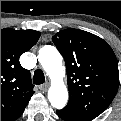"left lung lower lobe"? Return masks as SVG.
Instances as JSON below:
<instances>
[{
    "label": "left lung lower lobe",
    "instance_id": "obj_1",
    "mask_svg": "<svg viewBox=\"0 0 121 121\" xmlns=\"http://www.w3.org/2000/svg\"><path fill=\"white\" fill-rule=\"evenodd\" d=\"M56 112H57L58 116L65 121H85V120H82V119L72 117V116L64 113L62 110H57Z\"/></svg>",
    "mask_w": 121,
    "mask_h": 121
}]
</instances>
